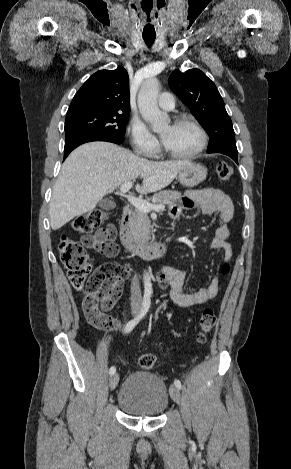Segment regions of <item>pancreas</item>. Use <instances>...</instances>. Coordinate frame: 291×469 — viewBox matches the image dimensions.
<instances>
[{"label": "pancreas", "mask_w": 291, "mask_h": 469, "mask_svg": "<svg viewBox=\"0 0 291 469\" xmlns=\"http://www.w3.org/2000/svg\"><path fill=\"white\" fill-rule=\"evenodd\" d=\"M181 196L178 191L164 190L154 194L148 201L155 200L156 202L173 206L177 203ZM129 235L136 243H147L150 238L151 225L146 212L140 211L137 208L132 212V217L128 222Z\"/></svg>", "instance_id": "cf45deb5"}]
</instances>
